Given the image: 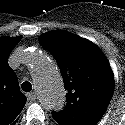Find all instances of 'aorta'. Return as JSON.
Wrapping results in <instances>:
<instances>
[{
	"label": "aorta",
	"instance_id": "aorta-1",
	"mask_svg": "<svg viewBox=\"0 0 125 125\" xmlns=\"http://www.w3.org/2000/svg\"><path fill=\"white\" fill-rule=\"evenodd\" d=\"M26 63L32 68L38 99L46 110L58 111L65 104V89L56 64L37 51L27 52Z\"/></svg>",
	"mask_w": 125,
	"mask_h": 125
}]
</instances>
